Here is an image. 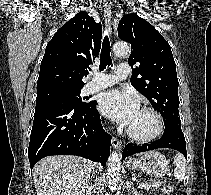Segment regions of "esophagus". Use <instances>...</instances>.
Here are the masks:
<instances>
[{
    "mask_svg": "<svg viewBox=\"0 0 211 195\" xmlns=\"http://www.w3.org/2000/svg\"><path fill=\"white\" fill-rule=\"evenodd\" d=\"M104 17H105V26H106L107 34L111 36L112 35L111 7L109 3H106L104 5ZM112 146L114 149L119 150L121 148V142L117 138L113 137Z\"/></svg>",
    "mask_w": 211,
    "mask_h": 195,
    "instance_id": "obj_1",
    "label": "esophagus"
}]
</instances>
